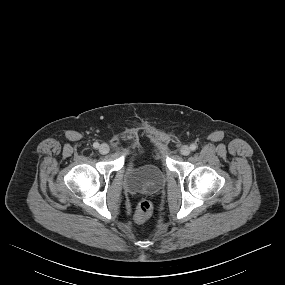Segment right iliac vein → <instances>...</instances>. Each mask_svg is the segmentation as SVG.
Instances as JSON below:
<instances>
[{"instance_id":"obj_1","label":"right iliac vein","mask_w":285,"mask_h":285,"mask_svg":"<svg viewBox=\"0 0 285 285\" xmlns=\"http://www.w3.org/2000/svg\"><path fill=\"white\" fill-rule=\"evenodd\" d=\"M109 150H110L109 146L105 143H103L99 146V152L103 155L107 154L109 152Z\"/></svg>"}]
</instances>
